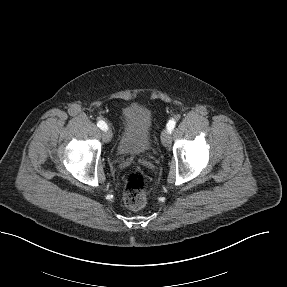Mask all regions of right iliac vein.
Wrapping results in <instances>:
<instances>
[{"label": "right iliac vein", "mask_w": 287, "mask_h": 287, "mask_svg": "<svg viewBox=\"0 0 287 287\" xmlns=\"http://www.w3.org/2000/svg\"><path fill=\"white\" fill-rule=\"evenodd\" d=\"M102 139L104 142L108 143L111 141L112 139V132L110 129H106L104 130L103 134H102Z\"/></svg>", "instance_id": "1"}]
</instances>
